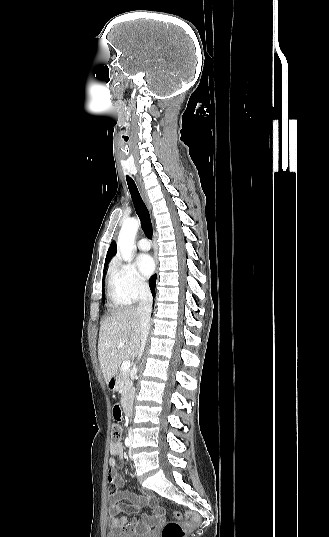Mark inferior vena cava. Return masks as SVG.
Masks as SVG:
<instances>
[{
	"mask_svg": "<svg viewBox=\"0 0 329 537\" xmlns=\"http://www.w3.org/2000/svg\"><path fill=\"white\" fill-rule=\"evenodd\" d=\"M139 305L137 311L140 315V331H141V345L139 348L138 359L141 358L144 351L146 339L149 333L150 316L152 310L153 297L148 285H141L139 291Z\"/></svg>",
	"mask_w": 329,
	"mask_h": 537,
	"instance_id": "602c4592",
	"label": "inferior vena cava"
}]
</instances>
